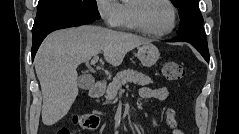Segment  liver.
I'll use <instances>...</instances> for the list:
<instances>
[{"instance_id":"1","label":"liver","mask_w":239,"mask_h":134,"mask_svg":"<svg viewBox=\"0 0 239 134\" xmlns=\"http://www.w3.org/2000/svg\"><path fill=\"white\" fill-rule=\"evenodd\" d=\"M149 42L147 38L99 26L84 25L51 33L34 61L43 96V124H55L70 110L78 95L79 64L103 51L106 62L116 67L127 52Z\"/></svg>"}]
</instances>
